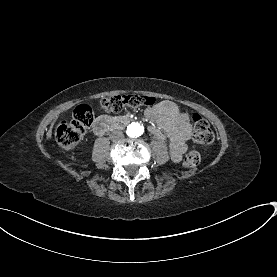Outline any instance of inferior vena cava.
Returning a JSON list of instances; mask_svg holds the SVG:
<instances>
[{
  "instance_id": "inferior-vena-cava-1",
  "label": "inferior vena cava",
  "mask_w": 277,
  "mask_h": 277,
  "mask_svg": "<svg viewBox=\"0 0 277 277\" xmlns=\"http://www.w3.org/2000/svg\"><path fill=\"white\" fill-rule=\"evenodd\" d=\"M110 138L113 140V141H117V140H121L124 138V134L122 133V131L120 130H115L111 133V136Z\"/></svg>"
}]
</instances>
